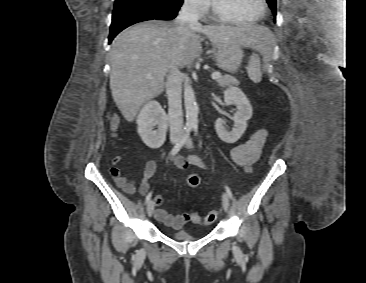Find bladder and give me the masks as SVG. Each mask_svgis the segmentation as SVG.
<instances>
[{"label":"bladder","instance_id":"bladder-1","mask_svg":"<svg viewBox=\"0 0 366 283\" xmlns=\"http://www.w3.org/2000/svg\"><path fill=\"white\" fill-rule=\"evenodd\" d=\"M170 236L173 239L179 240V241H189V240L197 239L199 237L197 235L190 234L186 231L173 232L170 234Z\"/></svg>","mask_w":366,"mask_h":283}]
</instances>
